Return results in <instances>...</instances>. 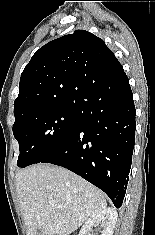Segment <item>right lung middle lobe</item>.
Listing matches in <instances>:
<instances>
[{
  "label": "right lung middle lobe",
  "mask_w": 155,
  "mask_h": 235,
  "mask_svg": "<svg viewBox=\"0 0 155 235\" xmlns=\"http://www.w3.org/2000/svg\"><path fill=\"white\" fill-rule=\"evenodd\" d=\"M78 124L75 105L48 106L20 114L13 125L20 147L18 167L42 161L74 134Z\"/></svg>",
  "instance_id": "1"
}]
</instances>
